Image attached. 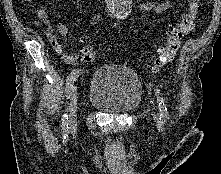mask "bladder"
<instances>
[{"label":"bladder","instance_id":"obj_1","mask_svg":"<svg viewBox=\"0 0 221 174\" xmlns=\"http://www.w3.org/2000/svg\"><path fill=\"white\" fill-rule=\"evenodd\" d=\"M142 84L137 74L124 65L107 64L93 74L88 101L99 110L122 114L134 110L142 98Z\"/></svg>","mask_w":221,"mask_h":174}]
</instances>
